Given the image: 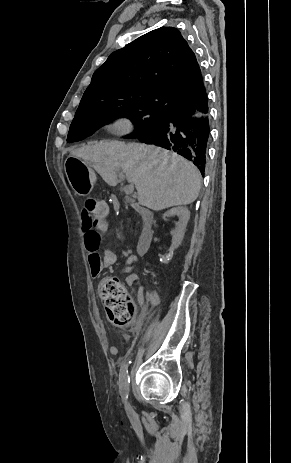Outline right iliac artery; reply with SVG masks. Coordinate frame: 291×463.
Returning a JSON list of instances; mask_svg holds the SVG:
<instances>
[{"label": "right iliac artery", "mask_w": 291, "mask_h": 463, "mask_svg": "<svg viewBox=\"0 0 291 463\" xmlns=\"http://www.w3.org/2000/svg\"><path fill=\"white\" fill-rule=\"evenodd\" d=\"M130 363L131 361L123 365L120 371V376H119L120 392H121L123 402L125 403L128 398V390H129V383H130V377L128 375V365Z\"/></svg>", "instance_id": "right-iliac-artery-1"}]
</instances>
